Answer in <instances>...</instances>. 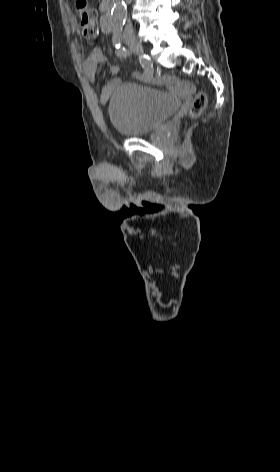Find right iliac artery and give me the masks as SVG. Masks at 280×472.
<instances>
[{
    "instance_id": "1",
    "label": "right iliac artery",
    "mask_w": 280,
    "mask_h": 472,
    "mask_svg": "<svg viewBox=\"0 0 280 472\" xmlns=\"http://www.w3.org/2000/svg\"><path fill=\"white\" fill-rule=\"evenodd\" d=\"M116 55L120 58H126L134 51H129L125 47H116ZM139 62L144 70V72L139 76L143 81H152L153 80V65L150 58L146 55L139 56Z\"/></svg>"
}]
</instances>
